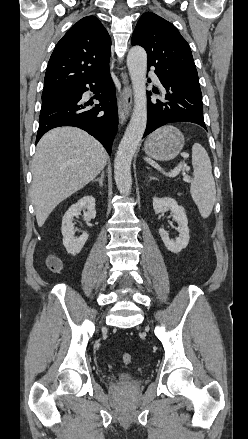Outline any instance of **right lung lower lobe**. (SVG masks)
Returning a JSON list of instances; mask_svg holds the SVG:
<instances>
[{
    "label": "right lung lower lobe",
    "instance_id": "right-lung-lower-lobe-1",
    "mask_svg": "<svg viewBox=\"0 0 248 439\" xmlns=\"http://www.w3.org/2000/svg\"><path fill=\"white\" fill-rule=\"evenodd\" d=\"M97 94L100 104L85 102L82 94L88 90ZM118 112L115 86L109 68L90 77L77 86L42 100L36 143L50 129L74 126L87 131L102 143L109 155L117 131Z\"/></svg>",
    "mask_w": 248,
    "mask_h": 439
}]
</instances>
